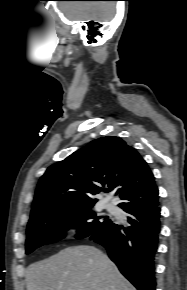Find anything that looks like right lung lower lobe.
<instances>
[{
  "label": "right lung lower lobe",
  "instance_id": "obj_1",
  "mask_svg": "<svg viewBox=\"0 0 187 290\" xmlns=\"http://www.w3.org/2000/svg\"><path fill=\"white\" fill-rule=\"evenodd\" d=\"M124 211L128 228L112 222L90 239L107 249L110 259L138 290H155V257L161 230L159 202Z\"/></svg>",
  "mask_w": 187,
  "mask_h": 290
}]
</instances>
